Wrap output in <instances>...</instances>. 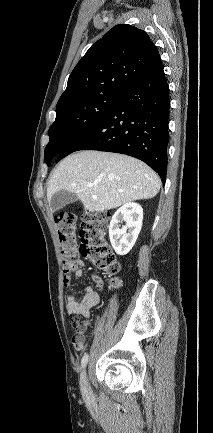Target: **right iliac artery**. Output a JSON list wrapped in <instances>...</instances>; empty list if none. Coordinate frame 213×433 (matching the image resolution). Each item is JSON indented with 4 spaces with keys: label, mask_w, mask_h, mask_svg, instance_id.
Wrapping results in <instances>:
<instances>
[{
    "label": "right iliac artery",
    "mask_w": 213,
    "mask_h": 433,
    "mask_svg": "<svg viewBox=\"0 0 213 433\" xmlns=\"http://www.w3.org/2000/svg\"><path fill=\"white\" fill-rule=\"evenodd\" d=\"M88 362V354H85L81 360V366L84 368Z\"/></svg>",
    "instance_id": "obj_1"
}]
</instances>
